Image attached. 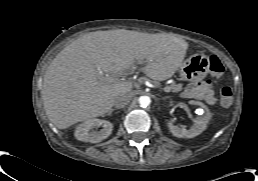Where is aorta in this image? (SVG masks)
<instances>
[{
    "mask_svg": "<svg viewBox=\"0 0 258 181\" xmlns=\"http://www.w3.org/2000/svg\"><path fill=\"white\" fill-rule=\"evenodd\" d=\"M138 101H139L140 106L143 107V108L149 106L150 103H151V99H150V97H148V96H141V97L138 99Z\"/></svg>",
    "mask_w": 258,
    "mask_h": 181,
    "instance_id": "1",
    "label": "aorta"
}]
</instances>
